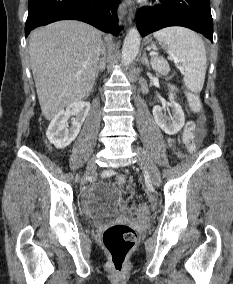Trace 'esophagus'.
Returning a JSON list of instances; mask_svg holds the SVG:
<instances>
[{"label":"esophagus","mask_w":233,"mask_h":284,"mask_svg":"<svg viewBox=\"0 0 233 284\" xmlns=\"http://www.w3.org/2000/svg\"><path fill=\"white\" fill-rule=\"evenodd\" d=\"M126 5L128 7V10H129L128 20L131 21L134 17L135 7H134L131 0H126Z\"/></svg>","instance_id":"obj_1"}]
</instances>
